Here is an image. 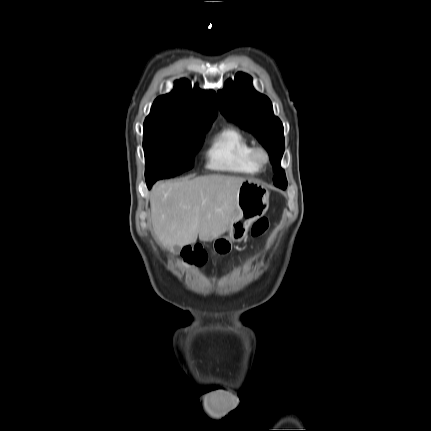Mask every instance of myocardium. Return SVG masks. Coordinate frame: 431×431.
Instances as JSON below:
<instances>
[{"mask_svg":"<svg viewBox=\"0 0 431 431\" xmlns=\"http://www.w3.org/2000/svg\"><path fill=\"white\" fill-rule=\"evenodd\" d=\"M269 158H270L269 153L265 148L261 146H257L253 148L252 159L260 167L266 165L269 162Z\"/></svg>","mask_w":431,"mask_h":431,"instance_id":"f54148a6","label":"myocardium"}]
</instances>
